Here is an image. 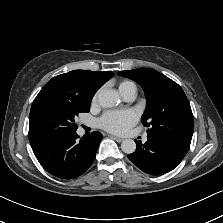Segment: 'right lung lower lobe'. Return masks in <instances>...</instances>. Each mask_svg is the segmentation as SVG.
<instances>
[{"instance_id":"right-lung-lower-lobe-1","label":"right lung lower lobe","mask_w":223,"mask_h":223,"mask_svg":"<svg viewBox=\"0 0 223 223\" xmlns=\"http://www.w3.org/2000/svg\"><path fill=\"white\" fill-rule=\"evenodd\" d=\"M78 137L75 132L32 147L33 152L47 172L62 179H73L91 166L103 138L97 131L80 141Z\"/></svg>"}]
</instances>
